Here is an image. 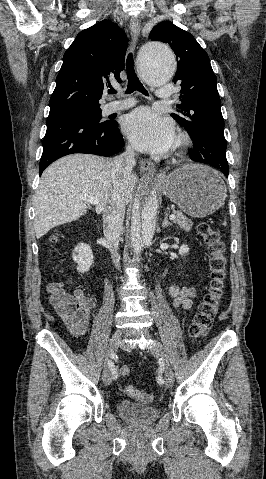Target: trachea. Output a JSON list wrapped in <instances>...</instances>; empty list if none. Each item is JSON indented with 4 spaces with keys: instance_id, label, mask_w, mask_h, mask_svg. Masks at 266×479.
<instances>
[{
    "instance_id": "obj_1",
    "label": "trachea",
    "mask_w": 266,
    "mask_h": 479,
    "mask_svg": "<svg viewBox=\"0 0 266 479\" xmlns=\"http://www.w3.org/2000/svg\"><path fill=\"white\" fill-rule=\"evenodd\" d=\"M126 66H127V78H128V86L126 93H132L134 91H139L144 95H148V92L140 82L139 78L137 77L134 67H133V56L131 53L128 54L127 60H126ZM110 94L116 93V91L111 88L108 91Z\"/></svg>"
}]
</instances>
